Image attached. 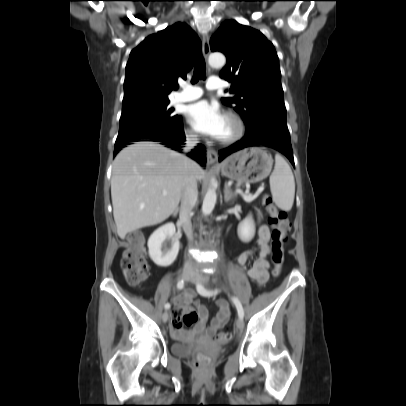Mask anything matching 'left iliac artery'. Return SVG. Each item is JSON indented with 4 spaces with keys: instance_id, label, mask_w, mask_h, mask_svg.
I'll return each instance as SVG.
<instances>
[{
    "instance_id": "obj_1",
    "label": "left iliac artery",
    "mask_w": 406,
    "mask_h": 406,
    "mask_svg": "<svg viewBox=\"0 0 406 406\" xmlns=\"http://www.w3.org/2000/svg\"><path fill=\"white\" fill-rule=\"evenodd\" d=\"M197 291H198L199 294H201L203 296H208V297L212 296V295H215V294H217L219 292L218 289H215V290L206 289L199 283L197 284ZM232 301H233V303L235 304V306L237 308L239 318L243 319L244 318V310H243L241 302L239 301V299L237 297H232Z\"/></svg>"
}]
</instances>
